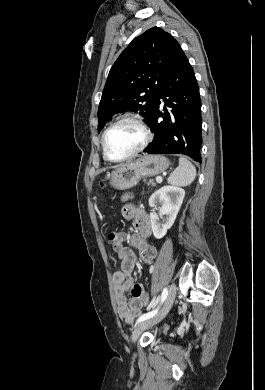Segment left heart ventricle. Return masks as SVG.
Instances as JSON below:
<instances>
[{"label":"left heart ventricle","mask_w":265,"mask_h":390,"mask_svg":"<svg viewBox=\"0 0 265 390\" xmlns=\"http://www.w3.org/2000/svg\"><path fill=\"white\" fill-rule=\"evenodd\" d=\"M142 139L143 134L139 127L130 122L121 123L107 136V152L114 159L122 158L138 147Z\"/></svg>","instance_id":"left-heart-ventricle-1"}]
</instances>
